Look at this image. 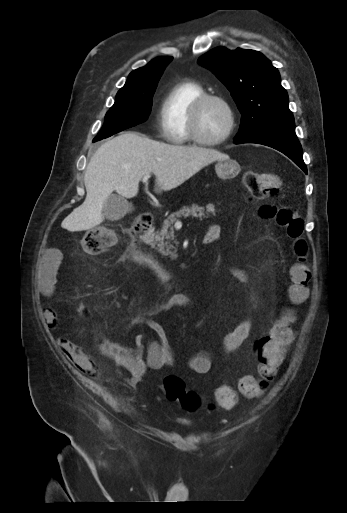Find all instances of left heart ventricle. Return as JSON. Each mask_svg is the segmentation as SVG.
Segmentation results:
<instances>
[{"label": "left heart ventricle", "instance_id": "b2bd125f", "mask_svg": "<svg viewBox=\"0 0 347 513\" xmlns=\"http://www.w3.org/2000/svg\"><path fill=\"white\" fill-rule=\"evenodd\" d=\"M229 117L224 106L210 101L202 109L199 121L200 134L207 139H217L227 130Z\"/></svg>", "mask_w": 347, "mask_h": 513}]
</instances>
